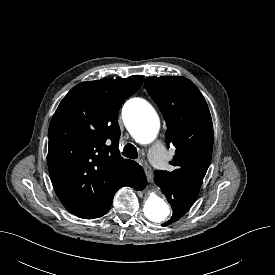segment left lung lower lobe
Listing matches in <instances>:
<instances>
[{
	"label": "left lung lower lobe",
	"instance_id": "1",
	"mask_svg": "<svg viewBox=\"0 0 275 275\" xmlns=\"http://www.w3.org/2000/svg\"><path fill=\"white\" fill-rule=\"evenodd\" d=\"M154 180L172 206L173 215L171 219L162 224L166 226L177 221L191 208L200 189L171 182L166 176L158 171H155Z\"/></svg>",
	"mask_w": 275,
	"mask_h": 275
}]
</instances>
